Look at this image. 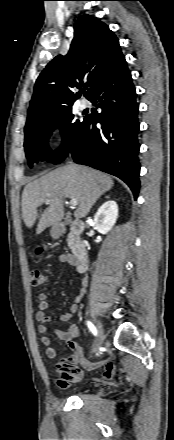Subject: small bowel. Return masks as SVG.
I'll return each instance as SVG.
<instances>
[{
	"label": "small bowel",
	"instance_id": "obj_1",
	"mask_svg": "<svg viewBox=\"0 0 174 440\" xmlns=\"http://www.w3.org/2000/svg\"><path fill=\"white\" fill-rule=\"evenodd\" d=\"M59 261L61 263L76 265L74 257L67 253L60 255ZM82 286L83 288L75 299V304H73L67 312L59 315L58 320L60 322L65 323L69 321L70 318L77 313L78 304L82 301L85 293L86 280H83ZM47 299L48 297L45 293H40L38 295V307L36 312V319L39 322L38 332L42 335L41 341L45 347V354L50 359H54L57 355L55 348L52 346L51 339L47 336L49 330H52L59 339L66 342L72 351V355L56 362L58 384L65 387L71 383L79 381L83 376V370L79 368L78 365H81L87 370H96L105 367L101 380L113 378L115 376L116 366L111 360L104 359L92 363L85 361L83 356V347L75 341V339L79 336V327L76 324L69 325L65 330L50 326L51 316L47 314Z\"/></svg>",
	"mask_w": 174,
	"mask_h": 440
}]
</instances>
